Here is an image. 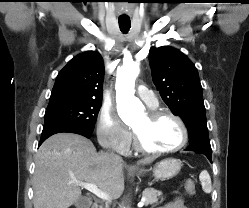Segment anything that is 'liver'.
Returning a JSON list of instances; mask_svg holds the SVG:
<instances>
[{"instance_id": "1", "label": "liver", "mask_w": 249, "mask_h": 208, "mask_svg": "<svg viewBox=\"0 0 249 208\" xmlns=\"http://www.w3.org/2000/svg\"><path fill=\"white\" fill-rule=\"evenodd\" d=\"M146 157L139 164H149ZM123 160L97 153L93 143L73 133H57L39 148L33 177L34 208H69L81 198L75 181L94 183L111 198L124 191Z\"/></svg>"}]
</instances>
